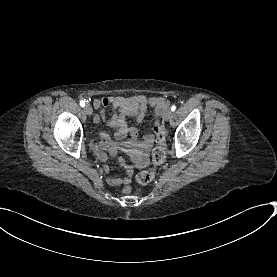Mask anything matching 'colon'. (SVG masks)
Returning <instances> with one entry per match:
<instances>
[{
	"mask_svg": "<svg viewBox=\"0 0 277 277\" xmlns=\"http://www.w3.org/2000/svg\"><path fill=\"white\" fill-rule=\"evenodd\" d=\"M103 102L105 103L106 100H104ZM155 132L157 147L154 149L152 155V162L154 168L148 171H143L137 175V181L140 184H148L154 180L155 170L158 166L162 164L165 157V134L159 121H156Z\"/></svg>",
	"mask_w": 277,
	"mask_h": 277,
	"instance_id": "1",
	"label": "colon"
}]
</instances>
